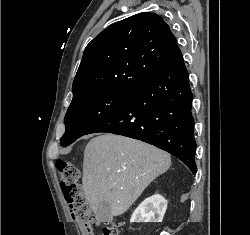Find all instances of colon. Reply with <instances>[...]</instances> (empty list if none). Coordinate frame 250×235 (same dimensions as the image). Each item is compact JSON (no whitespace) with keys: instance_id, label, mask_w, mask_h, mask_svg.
<instances>
[{"instance_id":"1","label":"colon","mask_w":250,"mask_h":235,"mask_svg":"<svg viewBox=\"0 0 250 235\" xmlns=\"http://www.w3.org/2000/svg\"><path fill=\"white\" fill-rule=\"evenodd\" d=\"M57 169L61 180V190L69 206L72 218L81 223L87 235H119V222H110L102 226L99 232L94 229V216L88 206L80 184V171L69 161L59 160Z\"/></svg>"}]
</instances>
